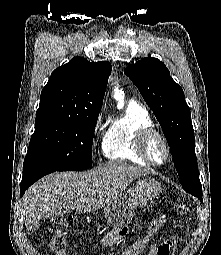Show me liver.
<instances>
[{"label":"liver","mask_w":221,"mask_h":255,"mask_svg":"<svg viewBox=\"0 0 221 255\" xmlns=\"http://www.w3.org/2000/svg\"><path fill=\"white\" fill-rule=\"evenodd\" d=\"M148 171L113 161L87 172L53 173L31 186L22 198L27 231L61 209L79 213L96 211L108 204L136 178Z\"/></svg>","instance_id":"6515ba94"}]
</instances>
